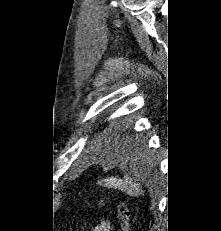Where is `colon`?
I'll list each match as a JSON object with an SVG mask.
<instances>
[{
    "mask_svg": "<svg viewBox=\"0 0 221 231\" xmlns=\"http://www.w3.org/2000/svg\"><path fill=\"white\" fill-rule=\"evenodd\" d=\"M117 213L121 222L122 231H128L130 212L127 205L123 202L117 203Z\"/></svg>",
    "mask_w": 221,
    "mask_h": 231,
    "instance_id": "colon-1",
    "label": "colon"
}]
</instances>
